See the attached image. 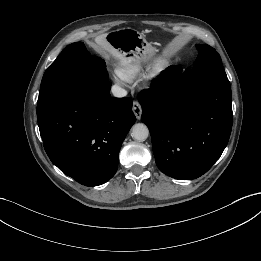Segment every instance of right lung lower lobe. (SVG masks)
<instances>
[{
  "label": "right lung lower lobe",
  "instance_id": "obj_1",
  "mask_svg": "<svg viewBox=\"0 0 261 261\" xmlns=\"http://www.w3.org/2000/svg\"><path fill=\"white\" fill-rule=\"evenodd\" d=\"M108 81L83 83L57 95L37 111L50 160L85 186L110 180L119 151L135 123L130 98H111Z\"/></svg>",
  "mask_w": 261,
  "mask_h": 261
}]
</instances>
